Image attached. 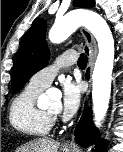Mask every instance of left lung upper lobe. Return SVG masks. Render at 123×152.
<instances>
[{"instance_id":"obj_1","label":"left lung upper lobe","mask_w":123,"mask_h":152,"mask_svg":"<svg viewBox=\"0 0 123 152\" xmlns=\"http://www.w3.org/2000/svg\"><path fill=\"white\" fill-rule=\"evenodd\" d=\"M94 0H74V6L92 7ZM46 22L36 19L25 34L17 52L12 73V91L18 93L29 78L43 69L49 59V50L45 41Z\"/></svg>"}]
</instances>
